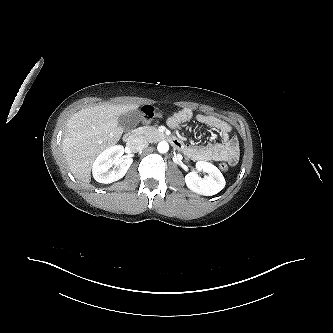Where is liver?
I'll use <instances>...</instances> for the list:
<instances>
[{"label":"liver","instance_id":"obj_1","mask_svg":"<svg viewBox=\"0 0 333 333\" xmlns=\"http://www.w3.org/2000/svg\"><path fill=\"white\" fill-rule=\"evenodd\" d=\"M138 107V104H101L82 109L67 120L62 147L75 178L90 182L96 157L122 136L124 130L118 124V117Z\"/></svg>","mask_w":333,"mask_h":333}]
</instances>
